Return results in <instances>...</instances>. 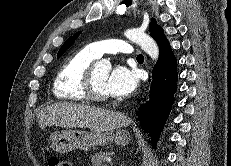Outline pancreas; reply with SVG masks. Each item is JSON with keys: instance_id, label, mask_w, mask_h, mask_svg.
<instances>
[{"instance_id": "obj_1", "label": "pancreas", "mask_w": 231, "mask_h": 166, "mask_svg": "<svg viewBox=\"0 0 231 166\" xmlns=\"http://www.w3.org/2000/svg\"><path fill=\"white\" fill-rule=\"evenodd\" d=\"M109 156V152H99L91 157V163L93 166H107L104 162Z\"/></svg>"}]
</instances>
